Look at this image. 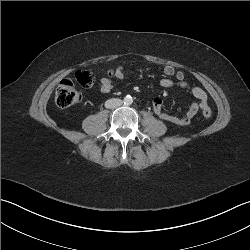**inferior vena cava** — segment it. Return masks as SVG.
Returning a JSON list of instances; mask_svg holds the SVG:
<instances>
[{
    "instance_id": "602c4592",
    "label": "inferior vena cava",
    "mask_w": 250,
    "mask_h": 250,
    "mask_svg": "<svg viewBox=\"0 0 250 250\" xmlns=\"http://www.w3.org/2000/svg\"><path fill=\"white\" fill-rule=\"evenodd\" d=\"M123 101L121 99L113 98L109 99L105 102V107L109 109H115L119 106H121Z\"/></svg>"
}]
</instances>
